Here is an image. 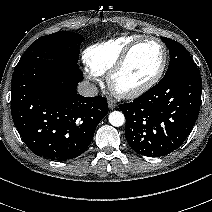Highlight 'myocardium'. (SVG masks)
<instances>
[{
    "label": "myocardium",
    "instance_id": "obj_1",
    "mask_svg": "<svg viewBox=\"0 0 212 212\" xmlns=\"http://www.w3.org/2000/svg\"><path fill=\"white\" fill-rule=\"evenodd\" d=\"M145 42H155L162 48L163 59H162L159 69L149 80H147L146 82H144L143 84H141L139 86H136V87L130 88V89L120 88L117 84V78H118L119 74L122 72V70L126 66L128 60L131 57L134 50L139 45H141L142 43H145ZM167 63H168V49H167L166 45L160 39L155 38V37H140V38L136 39L135 41H133L123 51V53L121 54V56L119 57L117 62L114 64V66L109 71V73L107 75V82H108L109 88L115 95H117L121 98L129 99V98H136L138 96H141L142 94H144L145 92H147L151 88H153L160 81L161 77L163 76V74L166 70Z\"/></svg>",
    "mask_w": 212,
    "mask_h": 212
}]
</instances>
